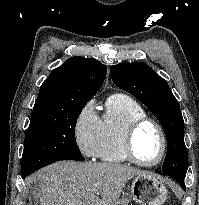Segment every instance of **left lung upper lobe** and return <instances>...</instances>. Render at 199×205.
Returning <instances> with one entry per match:
<instances>
[{"label":"left lung upper lobe","instance_id":"1","mask_svg":"<svg viewBox=\"0 0 199 205\" xmlns=\"http://www.w3.org/2000/svg\"><path fill=\"white\" fill-rule=\"evenodd\" d=\"M110 75L115 85L135 96L158 119L168 141L162 171L177 181H184L188 169L184 121L167 82L151 67L140 63L114 65Z\"/></svg>","mask_w":199,"mask_h":205}]
</instances>
